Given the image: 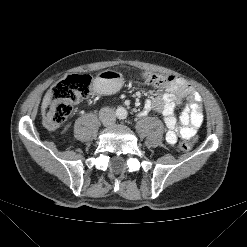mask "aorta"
Returning a JSON list of instances; mask_svg holds the SVG:
<instances>
[{"instance_id":"aorta-1","label":"aorta","mask_w":247,"mask_h":247,"mask_svg":"<svg viewBox=\"0 0 247 247\" xmlns=\"http://www.w3.org/2000/svg\"><path fill=\"white\" fill-rule=\"evenodd\" d=\"M117 116L120 118V119H123L126 117L127 115V111L124 107H118L117 110Z\"/></svg>"}]
</instances>
